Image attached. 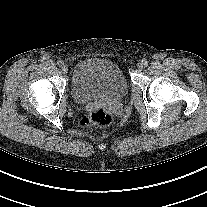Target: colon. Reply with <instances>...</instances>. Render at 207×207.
<instances>
[{"mask_svg":"<svg viewBox=\"0 0 207 207\" xmlns=\"http://www.w3.org/2000/svg\"><path fill=\"white\" fill-rule=\"evenodd\" d=\"M113 121V114L105 109H97L88 114H84L79 119L81 126L106 127Z\"/></svg>","mask_w":207,"mask_h":207,"instance_id":"colon-1","label":"colon"}]
</instances>
